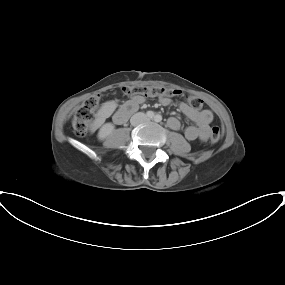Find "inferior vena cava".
<instances>
[{
    "instance_id": "inferior-vena-cava-1",
    "label": "inferior vena cava",
    "mask_w": 285,
    "mask_h": 285,
    "mask_svg": "<svg viewBox=\"0 0 285 285\" xmlns=\"http://www.w3.org/2000/svg\"><path fill=\"white\" fill-rule=\"evenodd\" d=\"M148 120L149 119L146 114L142 112H138L131 117L130 122H131V125L137 126L141 123L147 122Z\"/></svg>"
}]
</instances>
